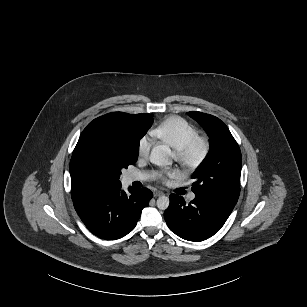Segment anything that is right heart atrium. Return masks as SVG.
<instances>
[{
  "instance_id": "obj_1",
  "label": "right heart atrium",
  "mask_w": 307,
  "mask_h": 307,
  "mask_svg": "<svg viewBox=\"0 0 307 307\" xmlns=\"http://www.w3.org/2000/svg\"><path fill=\"white\" fill-rule=\"evenodd\" d=\"M155 146V142L154 140L152 139V137H142L139 144H138V148H137V156L140 158V159H145L151 149Z\"/></svg>"
}]
</instances>
